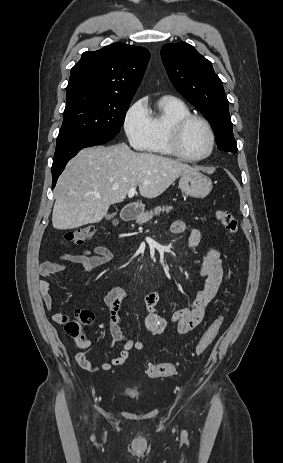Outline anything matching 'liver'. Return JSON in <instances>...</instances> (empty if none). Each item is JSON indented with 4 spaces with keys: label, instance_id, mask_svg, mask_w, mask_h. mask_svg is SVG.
Here are the masks:
<instances>
[{
    "label": "liver",
    "instance_id": "liver-1",
    "mask_svg": "<svg viewBox=\"0 0 283 463\" xmlns=\"http://www.w3.org/2000/svg\"><path fill=\"white\" fill-rule=\"evenodd\" d=\"M197 171L177 160L134 152L124 143L82 149L57 181L53 227L68 230L100 222L132 187L138 185L145 198H156L178 177Z\"/></svg>",
    "mask_w": 283,
    "mask_h": 463
}]
</instances>
